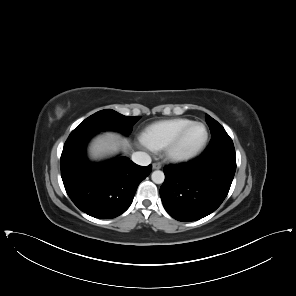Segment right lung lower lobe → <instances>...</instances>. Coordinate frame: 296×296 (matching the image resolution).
<instances>
[{
    "instance_id": "98d812e1",
    "label": "right lung lower lobe",
    "mask_w": 296,
    "mask_h": 296,
    "mask_svg": "<svg viewBox=\"0 0 296 296\" xmlns=\"http://www.w3.org/2000/svg\"><path fill=\"white\" fill-rule=\"evenodd\" d=\"M98 132L71 133L61 155V176L73 203L88 215L111 219L124 213L139 183L151 172L126 157L104 163H91L85 147Z\"/></svg>"
}]
</instances>
